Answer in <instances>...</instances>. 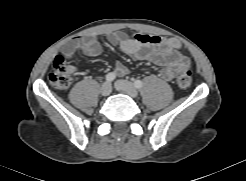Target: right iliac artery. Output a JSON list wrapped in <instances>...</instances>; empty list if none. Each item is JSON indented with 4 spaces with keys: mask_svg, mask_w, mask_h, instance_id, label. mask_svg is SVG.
Listing matches in <instances>:
<instances>
[{
    "mask_svg": "<svg viewBox=\"0 0 246 181\" xmlns=\"http://www.w3.org/2000/svg\"><path fill=\"white\" fill-rule=\"evenodd\" d=\"M115 78H116L115 73L110 72V73H108V74L106 75L105 80H106L107 82H112Z\"/></svg>",
    "mask_w": 246,
    "mask_h": 181,
    "instance_id": "right-iliac-artery-1",
    "label": "right iliac artery"
}]
</instances>
